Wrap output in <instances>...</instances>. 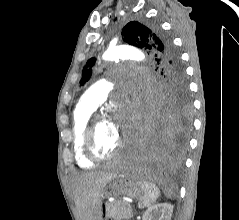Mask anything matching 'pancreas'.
Listing matches in <instances>:
<instances>
[{"mask_svg": "<svg viewBox=\"0 0 239 220\" xmlns=\"http://www.w3.org/2000/svg\"><path fill=\"white\" fill-rule=\"evenodd\" d=\"M106 215L114 220H129L133 217V212L127 202L113 201L106 205Z\"/></svg>", "mask_w": 239, "mask_h": 220, "instance_id": "1", "label": "pancreas"}]
</instances>
